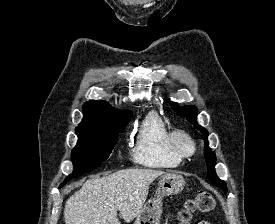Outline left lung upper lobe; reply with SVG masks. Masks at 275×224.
I'll return each instance as SVG.
<instances>
[{"label": "left lung upper lobe", "mask_w": 275, "mask_h": 224, "mask_svg": "<svg viewBox=\"0 0 275 224\" xmlns=\"http://www.w3.org/2000/svg\"><path fill=\"white\" fill-rule=\"evenodd\" d=\"M174 111H176L178 114L183 115L191 124H193L198 130L202 132V134L207 138L208 132L205 128L199 126L196 122L197 119V110L193 106H185L180 107L176 103L171 104ZM205 149L207 150L205 152V160L207 162L208 167V177L211 179L213 184L220 187L224 193L227 192V185L226 183L219 179V177L216 175L215 172V161H216V155L214 152L211 151L210 147L208 146V141L205 142Z\"/></svg>", "instance_id": "obj_1"}]
</instances>
